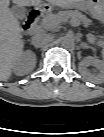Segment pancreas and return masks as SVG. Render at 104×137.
Instances as JSON below:
<instances>
[{
    "label": "pancreas",
    "instance_id": "cf45deb5",
    "mask_svg": "<svg viewBox=\"0 0 104 137\" xmlns=\"http://www.w3.org/2000/svg\"><path fill=\"white\" fill-rule=\"evenodd\" d=\"M70 19V22L72 24H79L80 22H83L84 24H87L90 22V19H88L85 15L78 11H63L56 15L50 14L46 16L43 20V26L46 28H52L60 23H66ZM90 42H94V37L89 38Z\"/></svg>",
    "mask_w": 104,
    "mask_h": 137
}]
</instances>
